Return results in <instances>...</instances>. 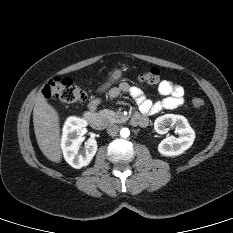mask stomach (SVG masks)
Segmentation results:
<instances>
[{"mask_svg": "<svg viewBox=\"0 0 233 233\" xmlns=\"http://www.w3.org/2000/svg\"><path fill=\"white\" fill-rule=\"evenodd\" d=\"M122 77V71L120 69H114L109 76V83L119 80ZM108 83V84H109Z\"/></svg>", "mask_w": 233, "mask_h": 233, "instance_id": "stomach-1", "label": "stomach"}]
</instances>
